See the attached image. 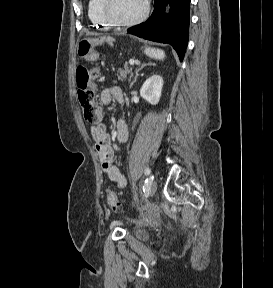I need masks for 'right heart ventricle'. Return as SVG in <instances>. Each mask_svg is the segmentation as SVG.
Masks as SVG:
<instances>
[{
  "instance_id": "e07e8e85",
  "label": "right heart ventricle",
  "mask_w": 273,
  "mask_h": 288,
  "mask_svg": "<svg viewBox=\"0 0 273 288\" xmlns=\"http://www.w3.org/2000/svg\"><path fill=\"white\" fill-rule=\"evenodd\" d=\"M101 0H89L88 2V17L91 23L97 27L102 29H108L109 24L102 18L100 12Z\"/></svg>"
}]
</instances>
